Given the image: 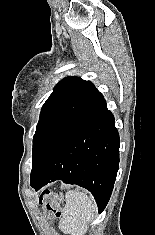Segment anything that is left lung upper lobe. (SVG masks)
<instances>
[{"label":"left lung upper lobe","mask_w":155,"mask_h":235,"mask_svg":"<svg viewBox=\"0 0 155 235\" xmlns=\"http://www.w3.org/2000/svg\"><path fill=\"white\" fill-rule=\"evenodd\" d=\"M103 99L89 82L77 77L61 80L44 103L33 137L32 171L36 174L49 155Z\"/></svg>","instance_id":"5c2ea615"}]
</instances>
